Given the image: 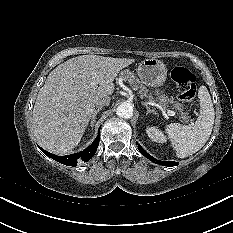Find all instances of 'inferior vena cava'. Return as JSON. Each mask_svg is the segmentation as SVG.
I'll return each mask as SVG.
<instances>
[{
  "label": "inferior vena cava",
  "mask_w": 233,
  "mask_h": 233,
  "mask_svg": "<svg viewBox=\"0 0 233 233\" xmlns=\"http://www.w3.org/2000/svg\"><path fill=\"white\" fill-rule=\"evenodd\" d=\"M110 100L111 99L109 96H105L97 101L96 106L97 107L107 106L110 104Z\"/></svg>",
  "instance_id": "602c4592"
}]
</instances>
